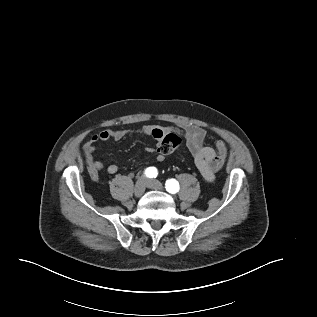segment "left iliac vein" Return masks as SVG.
Instances as JSON below:
<instances>
[{"instance_id":"left-iliac-vein-1","label":"left iliac vein","mask_w":317,"mask_h":317,"mask_svg":"<svg viewBox=\"0 0 317 317\" xmlns=\"http://www.w3.org/2000/svg\"><path fill=\"white\" fill-rule=\"evenodd\" d=\"M147 187L154 190H162L163 186L158 180L149 179L147 180Z\"/></svg>"}]
</instances>
